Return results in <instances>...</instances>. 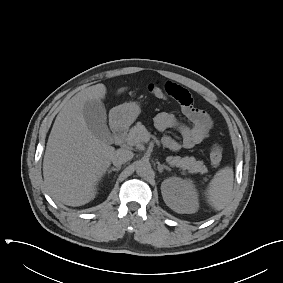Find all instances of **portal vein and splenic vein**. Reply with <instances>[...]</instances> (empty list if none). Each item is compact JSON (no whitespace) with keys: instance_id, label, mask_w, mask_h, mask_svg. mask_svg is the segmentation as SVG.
<instances>
[{"instance_id":"18ae733b","label":"portal vein and splenic vein","mask_w":283,"mask_h":283,"mask_svg":"<svg viewBox=\"0 0 283 283\" xmlns=\"http://www.w3.org/2000/svg\"><path fill=\"white\" fill-rule=\"evenodd\" d=\"M144 140H145V141H149V136H148V134L145 136Z\"/></svg>"}]
</instances>
